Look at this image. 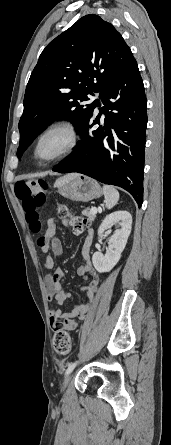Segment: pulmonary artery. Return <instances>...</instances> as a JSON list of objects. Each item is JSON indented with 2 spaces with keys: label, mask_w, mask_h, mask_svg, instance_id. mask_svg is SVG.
<instances>
[{
  "label": "pulmonary artery",
  "mask_w": 171,
  "mask_h": 445,
  "mask_svg": "<svg viewBox=\"0 0 171 445\" xmlns=\"http://www.w3.org/2000/svg\"><path fill=\"white\" fill-rule=\"evenodd\" d=\"M97 97L92 98V100L96 99Z\"/></svg>",
  "instance_id": "pulmonary-artery-1"
}]
</instances>
